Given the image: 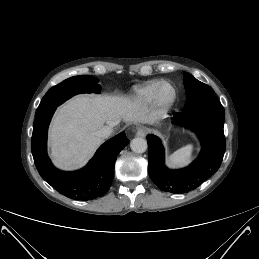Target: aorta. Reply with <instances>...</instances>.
<instances>
[{
  "label": "aorta",
  "mask_w": 259,
  "mask_h": 259,
  "mask_svg": "<svg viewBox=\"0 0 259 259\" xmlns=\"http://www.w3.org/2000/svg\"><path fill=\"white\" fill-rule=\"evenodd\" d=\"M130 148L135 153H144L147 150V141L141 137L134 138L130 143Z\"/></svg>",
  "instance_id": "obj_1"
}]
</instances>
